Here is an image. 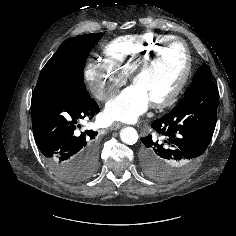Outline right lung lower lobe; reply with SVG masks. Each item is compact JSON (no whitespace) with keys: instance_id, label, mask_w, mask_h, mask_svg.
Here are the masks:
<instances>
[{"instance_id":"obj_1","label":"right lung lower lobe","mask_w":236,"mask_h":236,"mask_svg":"<svg viewBox=\"0 0 236 236\" xmlns=\"http://www.w3.org/2000/svg\"><path fill=\"white\" fill-rule=\"evenodd\" d=\"M99 112L89 95L75 91L34 90L31 100L35 142L50 166L64 179L77 166L98 157L97 132L81 131L80 122Z\"/></svg>"}]
</instances>
